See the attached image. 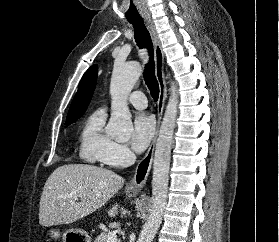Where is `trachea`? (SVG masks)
Returning a JSON list of instances; mask_svg holds the SVG:
<instances>
[{
	"label": "trachea",
	"mask_w": 279,
	"mask_h": 242,
	"mask_svg": "<svg viewBox=\"0 0 279 242\" xmlns=\"http://www.w3.org/2000/svg\"><path fill=\"white\" fill-rule=\"evenodd\" d=\"M133 25L135 41L140 49H146L149 55V61L145 65L143 77L148 86L151 96L155 101L159 98V84L155 76L153 43L149 31L143 20L129 21Z\"/></svg>",
	"instance_id": "obj_1"
}]
</instances>
